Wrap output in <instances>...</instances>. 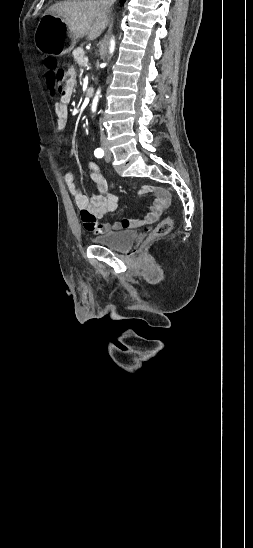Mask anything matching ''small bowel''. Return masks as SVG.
Listing matches in <instances>:
<instances>
[{"mask_svg":"<svg viewBox=\"0 0 253 548\" xmlns=\"http://www.w3.org/2000/svg\"><path fill=\"white\" fill-rule=\"evenodd\" d=\"M68 74L69 79L67 80L65 93L62 94L60 100L54 105L56 128L60 134L66 130L68 125V104L76 84L74 70L70 69ZM89 167L91 169L90 179L96 187L98 195L89 198L83 194L78 188L73 174L70 172L65 173L64 180L77 207L81 210V219L85 228L94 234H102L123 228H135L153 223L170 205L171 194L167 189L144 185L138 190V195L146 196L150 193H154L155 202L143 217L134 220L124 219L113 223L100 224L98 223V220L114 211L118 206V200L114 194L109 192L107 181L102 176L98 165L94 162H90Z\"/></svg>","mask_w":253,"mask_h":548,"instance_id":"c3829d8e","label":"small bowel"}]
</instances>
